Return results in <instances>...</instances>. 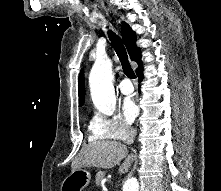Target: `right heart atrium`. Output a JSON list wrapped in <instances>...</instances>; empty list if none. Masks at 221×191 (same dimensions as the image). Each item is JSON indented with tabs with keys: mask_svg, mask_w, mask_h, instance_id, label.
Masks as SVG:
<instances>
[{
	"mask_svg": "<svg viewBox=\"0 0 221 191\" xmlns=\"http://www.w3.org/2000/svg\"><path fill=\"white\" fill-rule=\"evenodd\" d=\"M90 133L93 139L123 141L133 133V127L119 114L110 117L97 114L92 119Z\"/></svg>",
	"mask_w": 221,
	"mask_h": 191,
	"instance_id": "obj_1",
	"label": "right heart atrium"
}]
</instances>
